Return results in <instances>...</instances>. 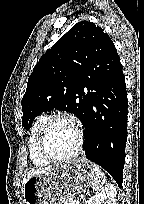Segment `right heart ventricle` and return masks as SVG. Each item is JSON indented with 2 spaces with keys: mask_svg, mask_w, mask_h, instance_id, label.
Listing matches in <instances>:
<instances>
[{
  "mask_svg": "<svg viewBox=\"0 0 144 204\" xmlns=\"http://www.w3.org/2000/svg\"><path fill=\"white\" fill-rule=\"evenodd\" d=\"M48 117L46 115L38 116L33 122L27 141L28 153L30 161L35 166H46L50 162L45 160L38 152L37 139L39 132Z\"/></svg>",
  "mask_w": 144,
  "mask_h": 204,
  "instance_id": "e07e8e85",
  "label": "right heart ventricle"
}]
</instances>
